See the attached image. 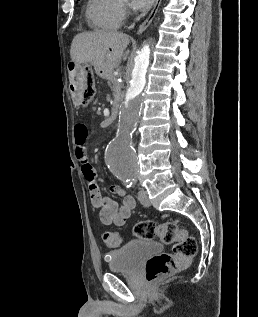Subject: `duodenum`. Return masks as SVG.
I'll list each match as a JSON object with an SVG mask.
<instances>
[{
    "label": "duodenum",
    "instance_id": "410a0bca",
    "mask_svg": "<svg viewBox=\"0 0 258 317\" xmlns=\"http://www.w3.org/2000/svg\"><path fill=\"white\" fill-rule=\"evenodd\" d=\"M80 74L81 69L79 67L74 65H70L68 67V77L71 88L78 89L80 83Z\"/></svg>",
    "mask_w": 258,
    "mask_h": 317
}]
</instances>
